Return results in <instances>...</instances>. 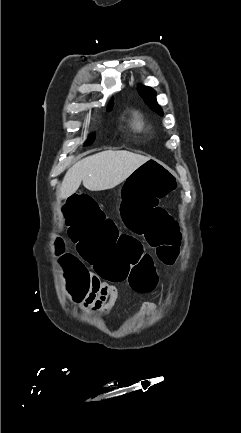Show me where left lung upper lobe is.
<instances>
[{"instance_id":"1","label":"left lung upper lobe","mask_w":241,"mask_h":433,"mask_svg":"<svg viewBox=\"0 0 241 433\" xmlns=\"http://www.w3.org/2000/svg\"><path fill=\"white\" fill-rule=\"evenodd\" d=\"M138 91L140 95L145 99V101L158 113L163 114L160 106L156 102V92L150 88L145 86H139Z\"/></svg>"}]
</instances>
